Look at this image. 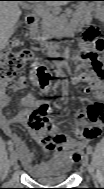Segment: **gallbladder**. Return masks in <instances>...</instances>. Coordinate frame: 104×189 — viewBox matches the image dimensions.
Wrapping results in <instances>:
<instances>
[{
  "instance_id": "bac80fb5",
  "label": "gallbladder",
  "mask_w": 104,
  "mask_h": 189,
  "mask_svg": "<svg viewBox=\"0 0 104 189\" xmlns=\"http://www.w3.org/2000/svg\"><path fill=\"white\" fill-rule=\"evenodd\" d=\"M21 6L24 9H29L30 8V6L28 4H26V3H21Z\"/></svg>"
}]
</instances>
